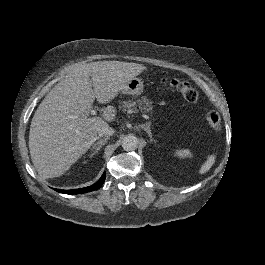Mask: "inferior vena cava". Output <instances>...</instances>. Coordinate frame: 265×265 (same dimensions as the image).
Wrapping results in <instances>:
<instances>
[{"instance_id": "602c4592", "label": "inferior vena cava", "mask_w": 265, "mask_h": 265, "mask_svg": "<svg viewBox=\"0 0 265 265\" xmlns=\"http://www.w3.org/2000/svg\"><path fill=\"white\" fill-rule=\"evenodd\" d=\"M115 132L114 128L109 127V125L107 123H105L104 125H102L101 127H99L97 129V133L100 136H104V135H112Z\"/></svg>"}]
</instances>
